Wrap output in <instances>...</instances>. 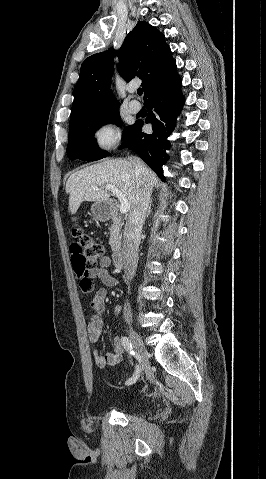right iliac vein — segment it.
Returning a JSON list of instances; mask_svg holds the SVG:
<instances>
[{
    "mask_svg": "<svg viewBox=\"0 0 266 479\" xmlns=\"http://www.w3.org/2000/svg\"><path fill=\"white\" fill-rule=\"evenodd\" d=\"M129 337L133 344L134 349L136 350L137 354L140 356L142 360V369L144 370L147 366L148 361V352L145 348V345L137 333L132 327H129Z\"/></svg>",
    "mask_w": 266,
    "mask_h": 479,
    "instance_id": "right-iliac-vein-1",
    "label": "right iliac vein"
}]
</instances>
